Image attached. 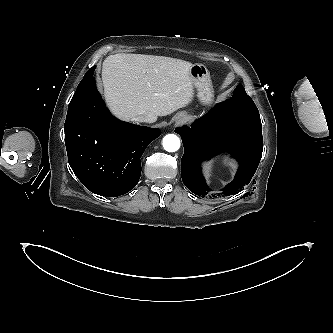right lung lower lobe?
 I'll return each mask as SVG.
<instances>
[{"label": "right lung lower lobe", "instance_id": "right-lung-lower-lobe-1", "mask_svg": "<svg viewBox=\"0 0 333 333\" xmlns=\"http://www.w3.org/2000/svg\"><path fill=\"white\" fill-rule=\"evenodd\" d=\"M68 162L91 192L116 197L129 192L141 175L140 158L157 128L113 117L96 89L95 79L80 101L68 108L64 125Z\"/></svg>", "mask_w": 333, "mask_h": 333}]
</instances>
